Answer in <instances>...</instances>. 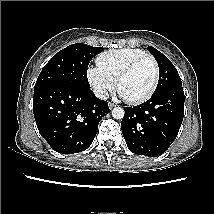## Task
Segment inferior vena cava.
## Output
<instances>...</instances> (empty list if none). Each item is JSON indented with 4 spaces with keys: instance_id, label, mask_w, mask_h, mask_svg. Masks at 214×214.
Returning <instances> with one entry per match:
<instances>
[{
    "instance_id": "602c4592",
    "label": "inferior vena cava",
    "mask_w": 214,
    "mask_h": 214,
    "mask_svg": "<svg viewBox=\"0 0 214 214\" xmlns=\"http://www.w3.org/2000/svg\"><path fill=\"white\" fill-rule=\"evenodd\" d=\"M94 94L99 98L103 100H107L109 98V94L106 90L102 88H95L94 89Z\"/></svg>"
}]
</instances>
